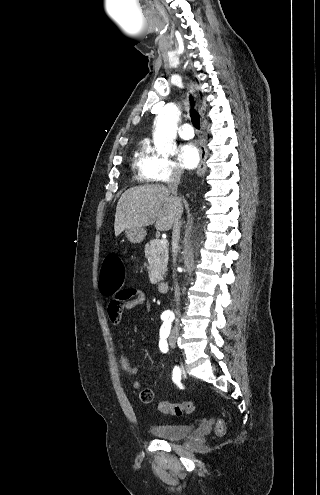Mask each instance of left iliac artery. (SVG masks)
<instances>
[{
	"label": "left iliac artery",
	"mask_w": 320,
	"mask_h": 495,
	"mask_svg": "<svg viewBox=\"0 0 320 495\" xmlns=\"http://www.w3.org/2000/svg\"><path fill=\"white\" fill-rule=\"evenodd\" d=\"M170 329H171V321L164 323L160 329L159 348L163 353H166L168 351V345H167L166 338L170 334Z\"/></svg>",
	"instance_id": "obj_1"
}]
</instances>
